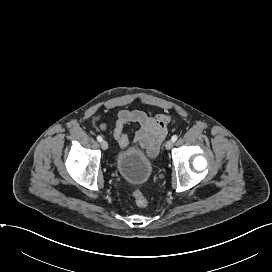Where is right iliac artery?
Listing matches in <instances>:
<instances>
[{
    "label": "right iliac artery",
    "mask_w": 272,
    "mask_h": 272,
    "mask_svg": "<svg viewBox=\"0 0 272 272\" xmlns=\"http://www.w3.org/2000/svg\"><path fill=\"white\" fill-rule=\"evenodd\" d=\"M97 140H98L99 142H101L103 139H102V137L99 135V136H97Z\"/></svg>",
    "instance_id": "82829eb1"
}]
</instances>
